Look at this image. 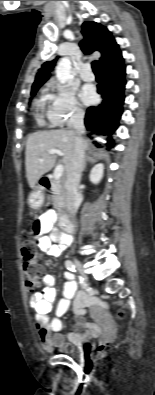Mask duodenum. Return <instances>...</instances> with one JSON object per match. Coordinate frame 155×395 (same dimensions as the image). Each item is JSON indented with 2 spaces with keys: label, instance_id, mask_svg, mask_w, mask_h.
Segmentation results:
<instances>
[{
  "label": "duodenum",
  "instance_id": "duodenum-1",
  "mask_svg": "<svg viewBox=\"0 0 155 395\" xmlns=\"http://www.w3.org/2000/svg\"><path fill=\"white\" fill-rule=\"evenodd\" d=\"M60 227L65 232H71L73 230L72 224L70 223V221L66 217H63L61 219Z\"/></svg>",
  "mask_w": 155,
  "mask_h": 395
}]
</instances>
